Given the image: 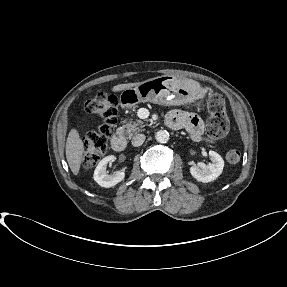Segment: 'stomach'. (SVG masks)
I'll use <instances>...</instances> for the list:
<instances>
[{"instance_id":"0dacf381","label":"stomach","mask_w":287,"mask_h":287,"mask_svg":"<svg viewBox=\"0 0 287 287\" xmlns=\"http://www.w3.org/2000/svg\"><path fill=\"white\" fill-rule=\"evenodd\" d=\"M198 98L199 90L189 81L173 75H162L123 90L120 105L125 109H134L141 102L178 106L194 102Z\"/></svg>"}]
</instances>
